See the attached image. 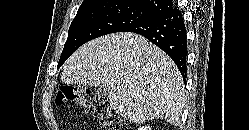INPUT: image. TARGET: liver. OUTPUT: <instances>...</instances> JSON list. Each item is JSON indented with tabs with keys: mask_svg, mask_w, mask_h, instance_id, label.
<instances>
[{
	"mask_svg": "<svg viewBox=\"0 0 249 130\" xmlns=\"http://www.w3.org/2000/svg\"><path fill=\"white\" fill-rule=\"evenodd\" d=\"M65 84L103 85L121 117L143 123L161 118L179 125L184 82L173 60L144 37L122 32L94 39L63 67Z\"/></svg>",
	"mask_w": 249,
	"mask_h": 130,
	"instance_id": "obj_1",
	"label": "liver"
}]
</instances>
